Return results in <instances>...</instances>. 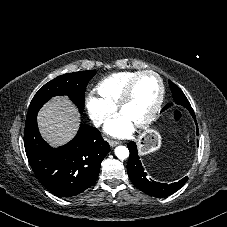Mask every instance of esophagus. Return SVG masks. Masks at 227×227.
<instances>
[{
  "mask_svg": "<svg viewBox=\"0 0 227 227\" xmlns=\"http://www.w3.org/2000/svg\"><path fill=\"white\" fill-rule=\"evenodd\" d=\"M109 145H110V147L113 148V147L119 145V142H118V141H114V140H110V141H109Z\"/></svg>",
  "mask_w": 227,
  "mask_h": 227,
  "instance_id": "esophagus-1",
  "label": "esophagus"
}]
</instances>
